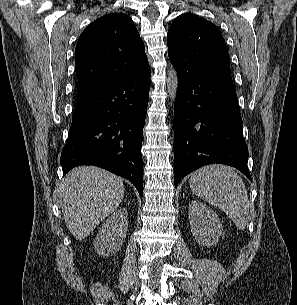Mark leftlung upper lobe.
I'll return each mask as SVG.
<instances>
[{
  "mask_svg": "<svg viewBox=\"0 0 297 305\" xmlns=\"http://www.w3.org/2000/svg\"><path fill=\"white\" fill-rule=\"evenodd\" d=\"M173 66L194 76L231 75L224 38L213 23L191 13L178 16L167 34Z\"/></svg>",
  "mask_w": 297,
  "mask_h": 305,
  "instance_id": "left-lung-upper-lobe-1",
  "label": "left lung upper lobe"
}]
</instances>
